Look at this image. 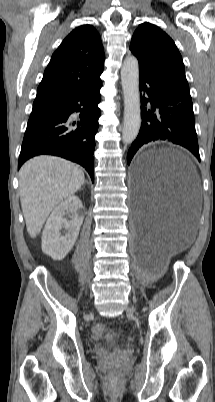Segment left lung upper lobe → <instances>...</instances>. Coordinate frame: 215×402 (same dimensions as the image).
Masks as SVG:
<instances>
[{
    "label": "left lung upper lobe",
    "instance_id": "left-lung-upper-lobe-1",
    "mask_svg": "<svg viewBox=\"0 0 215 402\" xmlns=\"http://www.w3.org/2000/svg\"><path fill=\"white\" fill-rule=\"evenodd\" d=\"M130 50L139 62V72L148 74L191 100L182 57L174 41L159 27L145 22L135 30Z\"/></svg>",
    "mask_w": 215,
    "mask_h": 402
}]
</instances>
